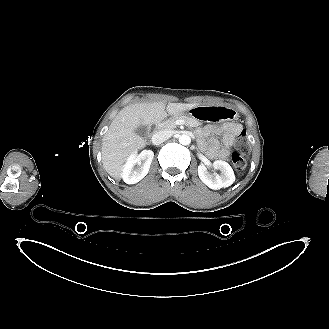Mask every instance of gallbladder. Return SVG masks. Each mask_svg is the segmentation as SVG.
I'll list each match as a JSON object with an SVG mask.
<instances>
[{
  "mask_svg": "<svg viewBox=\"0 0 329 329\" xmlns=\"http://www.w3.org/2000/svg\"><path fill=\"white\" fill-rule=\"evenodd\" d=\"M135 133L141 137H145L147 134V127L144 125H140L139 127H137L135 130Z\"/></svg>",
  "mask_w": 329,
  "mask_h": 329,
  "instance_id": "bac80fb5",
  "label": "gallbladder"
}]
</instances>
